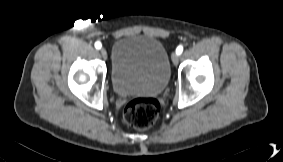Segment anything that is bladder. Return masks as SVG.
Masks as SVG:
<instances>
[{
    "instance_id": "31cf9c89",
    "label": "bladder",
    "mask_w": 283,
    "mask_h": 162,
    "mask_svg": "<svg viewBox=\"0 0 283 162\" xmlns=\"http://www.w3.org/2000/svg\"><path fill=\"white\" fill-rule=\"evenodd\" d=\"M111 84L120 96L161 94L170 78V62L164 45L147 35L117 39L111 55Z\"/></svg>"
}]
</instances>
